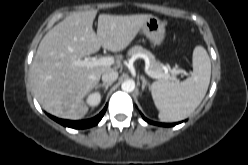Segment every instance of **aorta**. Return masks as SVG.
Instances as JSON below:
<instances>
[{
  "label": "aorta",
  "mask_w": 248,
  "mask_h": 165,
  "mask_svg": "<svg viewBox=\"0 0 248 165\" xmlns=\"http://www.w3.org/2000/svg\"><path fill=\"white\" fill-rule=\"evenodd\" d=\"M121 88L124 92H132L135 89V82L131 79L125 80L122 83Z\"/></svg>",
  "instance_id": "obj_1"
}]
</instances>
